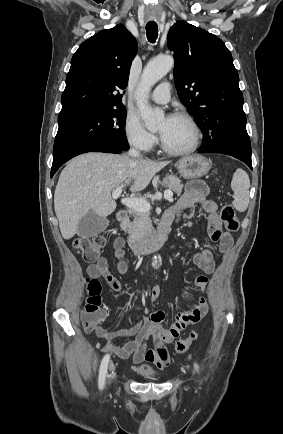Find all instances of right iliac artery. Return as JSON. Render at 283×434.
Segmentation results:
<instances>
[{
    "instance_id": "obj_1",
    "label": "right iliac artery",
    "mask_w": 283,
    "mask_h": 434,
    "mask_svg": "<svg viewBox=\"0 0 283 434\" xmlns=\"http://www.w3.org/2000/svg\"><path fill=\"white\" fill-rule=\"evenodd\" d=\"M109 360H110L109 354H106L102 359V362L100 365V370H99V377H98L99 389H103V387L105 385V379H106V373H107Z\"/></svg>"
}]
</instances>
